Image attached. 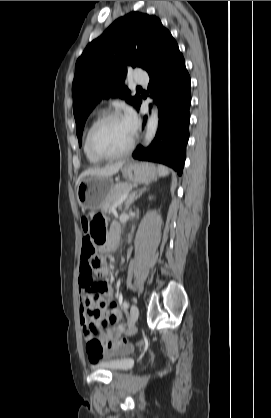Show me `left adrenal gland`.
<instances>
[{
  "instance_id": "obj_1",
  "label": "left adrenal gland",
  "mask_w": 271,
  "mask_h": 418,
  "mask_svg": "<svg viewBox=\"0 0 271 418\" xmlns=\"http://www.w3.org/2000/svg\"><path fill=\"white\" fill-rule=\"evenodd\" d=\"M147 190V187L144 186L142 189H136L134 190L129 197L127 198L125 202V210H127L132 203H134L135 200H137L145 191Z\"/></svg>"
}]
</instances>
